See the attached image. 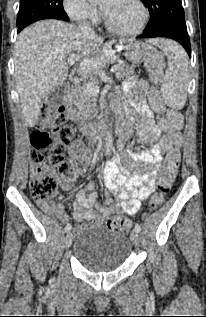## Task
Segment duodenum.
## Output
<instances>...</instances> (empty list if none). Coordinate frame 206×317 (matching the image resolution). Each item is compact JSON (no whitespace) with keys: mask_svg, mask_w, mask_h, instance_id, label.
Segmentation results:
<instances>
[{"mask_svg":"<svg viewBox=\"0 0 206 317\" xmlns=\"http://www.w3.org/2000/svg\"><path fill=\"white\" fill-rule=\"evenodd\" d=\"M63 106L64 108H66L68 118L71 120H75L77 109L74 106V101L66 100L64 101ZM113 131L118 133L122 138V135H123L122 129L113 128ZM84 134L88 136L90 139L95 141L98 140L100 137L106 138L108 135L106 131H101V128L99 125H87L84 128Z\"/></svg>","mask_w":206,"mask_h":317,"instance_id":"obj_1","label":"duodenum"}]
</instances>
